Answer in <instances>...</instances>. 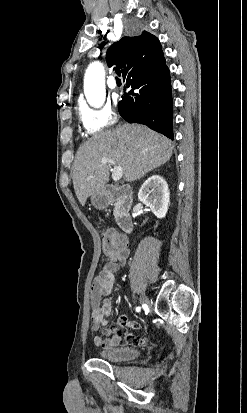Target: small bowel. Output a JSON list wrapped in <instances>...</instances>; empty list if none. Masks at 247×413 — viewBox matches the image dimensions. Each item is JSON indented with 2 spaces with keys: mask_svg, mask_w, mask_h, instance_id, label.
<instances>
[{
  "mask_svg": "<svg viewBox=\"0 0 247 413\" xmlns=\"http://www.w3.org/2000/svg\"><path fill=\"white\" fill-rule=\"evenodd\" d=\"M129 258V247L108 255L107 261L101 271L97 274L92 284L90 292V326L93 331H99L101 327L106 325L108 322V317L112 311L110 296L114 284V274L128 262ZM132 323L133 322H129L126 317H120V324L122 326H131ZM122 326L114 327L111 330L113 333L112 336L103 334L96 335L94 337L95 345L104 349H110L124 345L125 343H133L135 341V336H141V340H136L134 342V347L136 349H141L143 347V343H148L151 340V337L148 334H144L142 331L144 328L142 322L134 323L133 328L135 331H130L129 334L120 335L118 332L119 329H123Z\"/></svg>",
  "mask_w": 247,
  "mask_h": 413,
  "instance_id": "small-bowel-1",
  "label": "small bowel"
}]
</instances>
